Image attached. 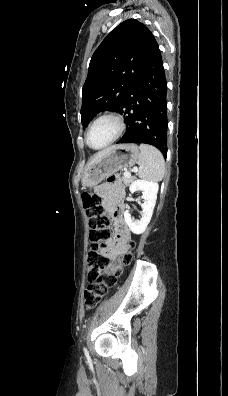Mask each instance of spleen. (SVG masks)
<instances>
[{
    "label": "spleen",
    "mask_w": 228,
    "mask_h": 396,
    "mask_svg": "<svg viewBox=\"0 0 228 396\" xmlns=\"http://www.w3.org/2000/svg\"><path fill=\"white\" fill-rule=\"evenodd\" d=\"M140 151L138 176L144 180L161 181L165 173V163L161 152L147 144H141Z\"/></svg>",
    "instance_id": "spleen-1"
}]
</instances>
